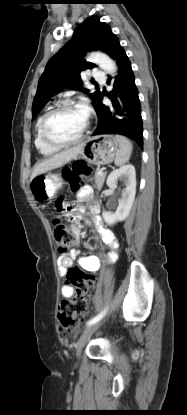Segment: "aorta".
<instances>
[{"label":"aorta","instance_id":"obj_1","mask_svg":"<svg viewBox=\"0 0 187 415\" xmlns=\"http://www.w3.org/2000/svg\"><path fill=\"white\" fill-rule=\"evenodd\" d=\"M88 60L98 65L104 71L109 73H115L117 71V66L115 62L105 53L102 52H92L88 56Z\"/></svg>","mask_w":187,"mask_h":415}]
</instances>
